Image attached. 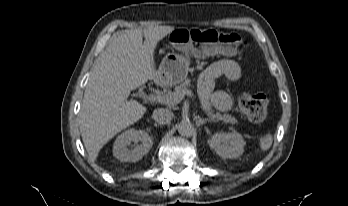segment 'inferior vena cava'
<instances>
[{
  "instance_id": "inferior-vena-cava-1",
  "label": "inferior vena cava",
  "mask_w": 348,
  "mask_h": 206,
  "mask_svg": "<svg viewBox=\"0 0 348 206\" xmlns=\"http://www.w3.org/2000/svg\"><path fill=\"white\" fill-rule=\"evenodd\" d=\"M152 117L158 124H168L173 119L174 114L169 109L158 108L153 111Z\"/></svg>"
}]
</instances>
